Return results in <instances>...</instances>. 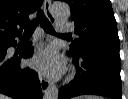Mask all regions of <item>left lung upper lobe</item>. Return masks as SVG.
<instances>
[{
	"mask_svg": "<svg viewBox=\"0 0 128 99\" xmlns=\"http://www.w3.org/2000/svg\"><path fill=\"white\" fill-rule=\"evenodd\" d=\"M75 22L74 40L68 52L80 53L93 42L105 41L119 44L116 20L109 0H66Z\"/></svg>",
	"mask_w": 128,
	"mask_h": 99,
	"instance_id": "obj_1",
	"label": "left lung upper lobe"
}]
</instances>
